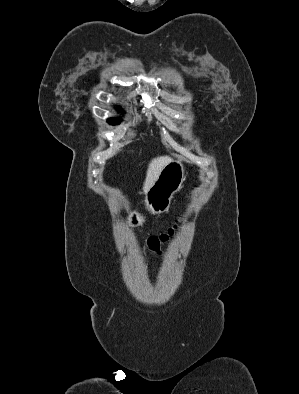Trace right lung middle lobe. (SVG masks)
<instances>
[{
	"instance_id": "obj_1",
	"label": "right lung middle lobe",
	"mask_w": 299,
	"mask_h": 394,
	"mask_svg": "<svg viewBox=\"0 0 299 394\" xmlns=\"http://www.w3.org/2000/svg\"><path fill=\"white\" fill-rule=\"evenodd\" d=\"M119 122L120 121L118 119H116V118H111V119L108 120V123L111 124V125H117V124H119Z\"/></svg>"
}]
</instances>
